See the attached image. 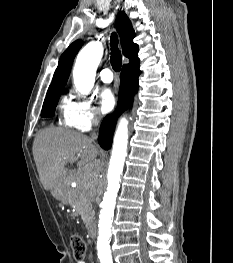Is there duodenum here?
I'll use <instances>...</instances> for the list:
<instances>
[{
    "label": "duodenum",
    "mask_w": 233,
    "mask_h": 263,
    "mask_svg": "<svg viewBox=\"0 0 233 263\" xmlns=\"http://www.w3.org/2000/svg\"><path fill=\"white\" fill-rule=\"evenodd\" d=\"M88 230H89L90 238L95 239L96 238V226L94 224H90Z\"/></svg>",
    "instance_id": "410a0bca"
}]
</instances>
